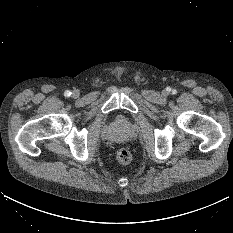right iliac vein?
Returning <instances> with one entry per match:
<instances>
[{"instance_id": "obj_1", "label": "right iliac vein", "mask_w": 233, "mask_h": 233, "mask_svg": "<svg viewBox=\"0 0 233 233\" xmlns=\"http://www.w3.org/2000/svg\"><path fill=\"white\" fill-rule=\"evenodd\" d=\"M72 96L74 98H77L79 96V92L78 91H73Z\"/></svg>"}]
</instances>
